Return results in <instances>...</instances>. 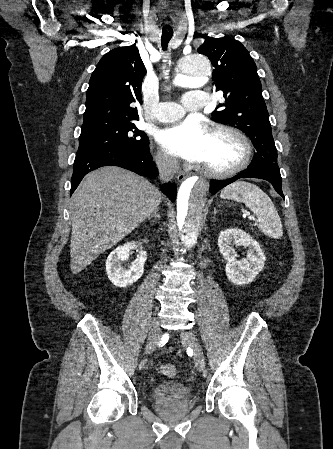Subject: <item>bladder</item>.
Instances as JSON below:
<instances>
[{
	"label": "bladder",
	"mask_w": 333,
	"mask_h": 449,
	"mask_svg": "<svg viewBox=\"0 0 333 449\" xmlns=\"http://www.w3.org/2000/svg\"><path fill=\"white\" fill-rule=\"evenodd\" d=\"M149 397L154 403L176 401L188 403L193 393L190 387L180 381H165L155 384L149 389Z\"/></svg>",
	"instance_id": "bladder-1"
}]
</instances>
